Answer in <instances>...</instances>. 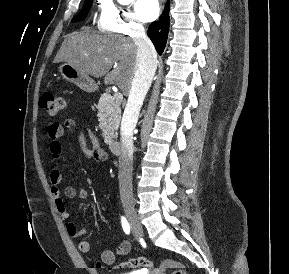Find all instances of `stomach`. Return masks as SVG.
Here are the masks:
<instances>
[{"label": "stomach", "mask_w": 289, "mask_h": 274, "mask_svg": "<svg viewBox=\"0 0 289 274\" xmlns=\"http://www.w3.org/2000/svg\"><path fill=\"white\" fill-rule=\"evenodd\" d=\"M58 71L63 79L75 84L80 89L86 92H94L97 90V85L89 75L81 72L73 65L65 62L58 67Z\"/></svg>", "instance_id": "1"}]
</instances>
